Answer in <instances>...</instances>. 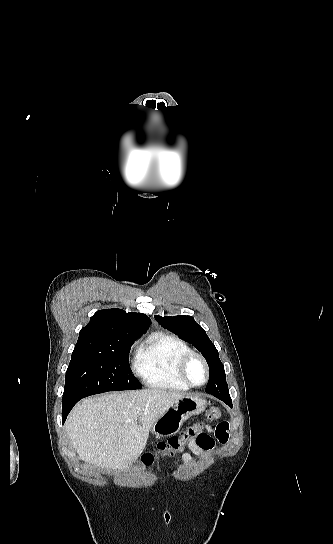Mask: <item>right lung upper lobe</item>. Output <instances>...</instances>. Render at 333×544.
<instances>
[{
	"label": "right lung upper lobe",
	"mask_w": 333,
	"mask_h": 544,
	"mask_svg": "<svg viewBox=\"0 0 333 544\" xmlns=\"http://www.w3.org/2000/svg\"><path fill=\"white\" fill-rule=\"evenodd\" d=\"M150 326L145 314L126 313L121 309L97 311L79 332L74 350H106L110 343L121 338H138Z\"/></svg>",
	"instance_id": "obj_1"
}]
</instances>
